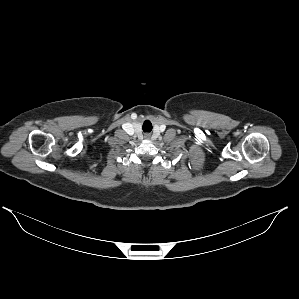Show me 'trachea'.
Wrapping results in <instances>:
<instances>
[{
	"mask_svg": "<svg viewBox=\"0 0 299 299\" xmlns=\"http://www.w3.org/2000/svg\"><path fill=\"white\" fill-rule=\"evenodd\" d=\"M142 129L144 132H151L152 130V124L149 120L144 121Z\"/></svg>",
	"mask_w": 299,
	"mask_h": 299,
	"instance_id": "trachea-1",
	"label": "trachea"
}]
</instances>
